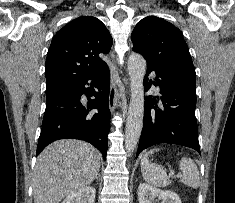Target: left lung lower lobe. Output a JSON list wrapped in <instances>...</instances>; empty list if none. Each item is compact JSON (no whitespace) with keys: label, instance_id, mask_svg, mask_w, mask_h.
Masks as SVG:
<instances>
[{"label":"left lung lower lobe","instance_id":"obj_1","mask_svg":"<svg viewBox=\"0 0 235 203\" xmlns=\"http://www.w3.org/2000/svg\"><path fill=\"white\" fill-rule=\"evenodd\" d=\"M155 71L158 79L150 80L147 75ZM151 84L160 87L161 106L148 96L144 106V124L138 145L139 153L157 143H171L190 147L201 154L198 141V127L195 117V81L175 73L147 64L144 79L146 91ZM159 98V97H157Z\"/></svg>","mask_w":235,"mask_h":203}]
</instances>
